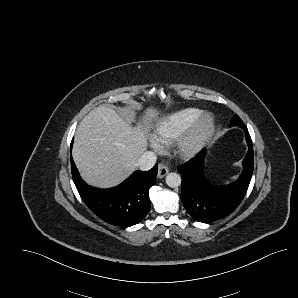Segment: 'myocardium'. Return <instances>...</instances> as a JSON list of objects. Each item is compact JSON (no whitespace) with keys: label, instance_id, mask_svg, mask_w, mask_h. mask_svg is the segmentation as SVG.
I'll return each mask as SVG.
<instances>
[{"label":"myocardium","instance_id":"obj_1","mask_svg":"<svg viewBox=\"0 0 298 298\" xmlns=\"http://www.w3.org/2000/svg\"><path fill=\"white\" fill-rule=\"evenodd\" d=\"M208 123L206 132L200 131L202 123ZM216 131V119L211 113H203L188 128L176 135L171 143L179 157H192L199 153Z\"/></svg>","mask_w":298,"mask_h":298}]
</instances>
